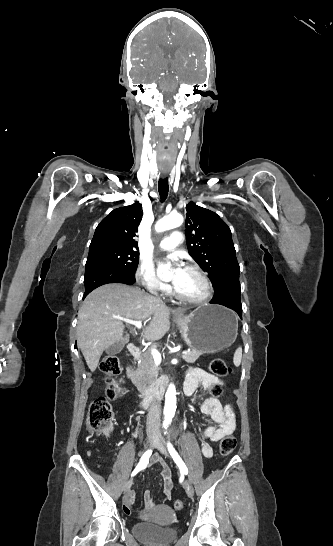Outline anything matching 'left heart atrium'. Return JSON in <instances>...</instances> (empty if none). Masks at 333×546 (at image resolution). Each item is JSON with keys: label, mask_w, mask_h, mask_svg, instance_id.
Segmentation results:
<instances>
[{"label": "left heart atrium", "mask_w": 333, "mask_h": 546, "mask_svg": "<svg viewBox=\"0 0 333 546\" xmlns=\"http://www.w3.org/2000/svg\"><path fill=\"white\" fill-rule=\"evenodd\" d=\"M168 261L173 265L174 270L172 284L175 289H178L183 283L186 275V269L182 266L178 258L174 255L169 256Z\"/></svg>", "instance_id": "obj_1"}]
</instances>
